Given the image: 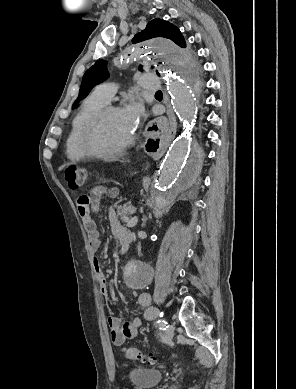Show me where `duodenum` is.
<instances>
[{"mask_svg":"<svg viewBox=\"0 0 296 389\" xmlns=\"http://www.w3.org/2000/svg\"><path fill=\"white\" fill-rule=\"evenodd\" d=\"M131 241H132V237L129 236L120 239L122 252H124L129 247Z\"/></svg>","mask_w":296,"mask_h":389,"instance_id":"410a0bca","label":"duodenum"}]
</instances>
